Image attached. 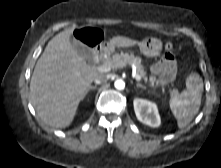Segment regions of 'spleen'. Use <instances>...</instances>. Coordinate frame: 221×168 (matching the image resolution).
Returning <instances> with one entry per match:
<instances>
[{"mask_svg":"<svg viewBox=\"0 0 221 168\" xmlns=\"http://www.w3.org/2000/svg\"><path fill=\"white\" fill-rule=\"evenodd\" d=\"M203 91V80L197 72H192L186 79V90L171 98L169 105L177 119L179 128L186 127L197 114Z\"/></svg>","mask_w":221,"mask_h":168,"instance_id":"spleen-1","label":"spleen"}]
</instances>
